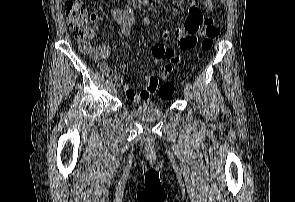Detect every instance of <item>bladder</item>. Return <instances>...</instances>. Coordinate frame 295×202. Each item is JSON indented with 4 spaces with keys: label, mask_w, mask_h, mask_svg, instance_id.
I'll use <instances>...</instances> for the list:
<instances>
[{
    "label": "bladder",
    "mask_w": 295,
    "mask_h": 202,
    "mask_svg": "<svg viewBox=\"0 0 295 202\" xmlns=\"http://www.w3.org/2000/svg\"><path fill=\"white\" fill-rule=\"evenodd\" d=\"M131 114L133 117L142 121H154L162 116V109L156 102L147 100L133 108Z\"/></svg>",
    "instance_id": "bladder-1"
}]
</instances>
